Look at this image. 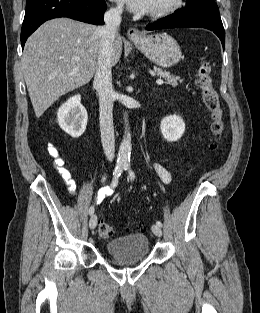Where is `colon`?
I'll return each instance as SVG.
<instances>
[{"instance_id":"colon-1","label":"colon","mask_w":260,"mask_h":313,"mask_svg":"<svg viewBox=\"0 0 260 313\" xmlns=\"http://www.w3.org/2000/svg\"><path fill=\"white\" fill-rule=\"evenodd\" d=\"M210 73V63L202 62L196 72L195 82L200 88L203 102L210 112V129L214 143L217 144L221 141L223 137L225 124L223 119V108L220 102L219 94L213 85ZM98 233L101 238L108 239L113 236L114 231L109 224L105 222H100L98 227Z\"/></svg>"}]
</instances>
